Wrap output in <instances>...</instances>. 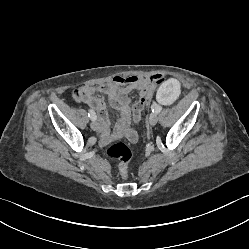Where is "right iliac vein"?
<instances>
[{
    "label": "right iliac vein",
    "instance_id": "obj_1",
    "mask_svg": "<svg viewBox=\"0 0 249 249\" xmlns=\"http://www.w3.org/2000/svg\"><path fill=\"white\" fill-rule=\"evenodd\" d=\"M91 128L94 130V131H97L99 129V124L96 120H92L91 122Z\"/></svg>",
    "mask_w": 249,
    "mask_h": 249
}]
</instances>
